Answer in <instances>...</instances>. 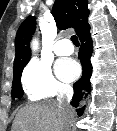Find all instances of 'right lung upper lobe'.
<instances>
[{
	"mask_svg": "<svg viewBox=\"0 0 117 131\" xmlns=\"http://www.w3.org/2000/svg\"><path fill=\"white\" fill-rule=\"evenodd\" d=\"M87 0H56L52 14L58 28L67 29L73 27L76 34L81 37L90 31L87 22L89 9ZM36 28L35 18L29 16L20 25L15 38L16 55L14 60V72L26 66L30 59V40Z\"/></svg>",
	"mask_w": 117,
	"mask_h": 131,
	"instance_id": "1",
	"label": "right lung upper lobe"
}]
</instances>
